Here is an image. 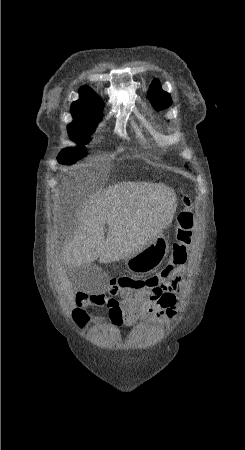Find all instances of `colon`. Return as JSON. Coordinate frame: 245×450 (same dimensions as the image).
<instances>
[{
	"label": "colon",
	"mask_w": 245,
	"mask_h": 450,
	"mask_svg": "<svg viewBox=\"0 0 245 450\" xmlns=\"http://www.w3.org/2000/svg\"><path fill=\"white\" fill-rule=\"evenodd\" d=\"M182 209L177 215L174 242L167 263V268L181 266L187 261L188 253L192 245L194 232V213L193 202L189 197L182 198ZM146 278L134 276H122L114 279L112 283L114 287L135 292L143 288L146 284ZM88 298L86 294L78 293L75 300H82ZM89 319V315L82 309H78L74 314V324L78 329H83Z\"/></svg>",
	"instance_id": "1"
}]
</instances>
